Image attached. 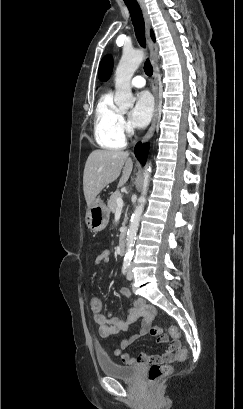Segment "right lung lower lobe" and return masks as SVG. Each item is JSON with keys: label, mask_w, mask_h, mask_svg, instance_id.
Instances as JSON below:
<instances>
[{"label": "right lung lower lobe", "mask_w": 243, "mask_h": 409, "mask_svg": "<svg viewBox=\"0 0 243 409\" xmlns=\"http://www.w3.org/2000/svg\"><path fill=\"white\" fill-rule=\"evenodd\" d=\"M148 149H149L148 144H141L140 142L135 146L134 149L135 155L142 165H145Z\"/></svg>", "instance_id": "98d812e1"}]
</instances>
